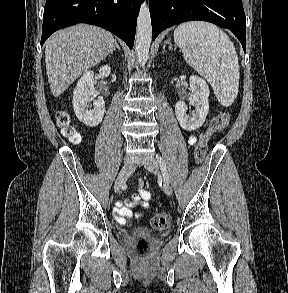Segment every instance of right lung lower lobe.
I'll use <instances>...</instances> for the list:
<instances>
[{"label": "right lung lower lobe", "mask_w": 288, "mask_h": 293, "mask_svg": "<svg viewBox=\"0 0 288 293\" xmlns=\"http://www.w3.org/2000/svg\"><path fill=\"white\" fill-rule=\"evenodd\" d=\"M143 0H47L41 46L56 30L77 23L100 26L133 48L136 20Z\"/></svg>", "instance_id": "1"}]
</instances>
